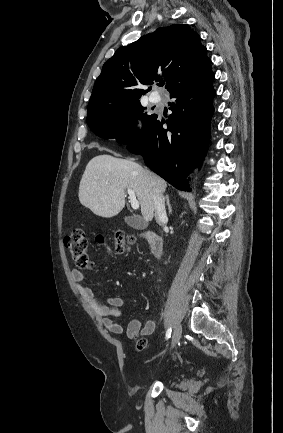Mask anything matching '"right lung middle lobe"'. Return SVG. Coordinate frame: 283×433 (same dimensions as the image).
<instances>
[{
    "instance_id": "right-lung-middle-lobe-1",
    "label": "right lung middle lobe",
    "mask_w": 283,
    "mask_h": 433,
    "mask_svg": "<svg viewBox=\"0 0 283 433\" xmlns=\"http://www.w3.org/2000/svg\"><path fill=\"white\" fill-rule=\"evenodd\" d=\"M145 111L146 108L141 106L139 101L125 103L87 115V124L97 136L116 138L119 143L130 146L145 134L156 116L148 115ZM138 118L144 123L142 130L134 126Z\"/></svg>"
}]
</instances>
